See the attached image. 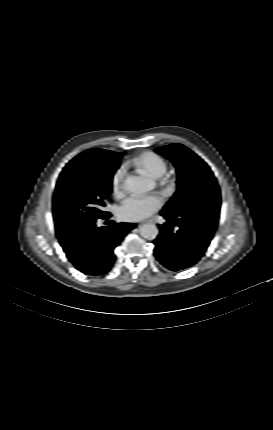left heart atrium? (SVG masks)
Masks as SVG:
<instances>
[{
	"instance_id": "1",
	"label": "left heart atrium",
	"mask_w": 273,
	"mask_h": 430,
	"mask_svg": "<svg viewBox=\"0 0 273 430\" xmlns=\"http://www.w3.org/2000/svg\"><path fill=\"white\" fill-rule=\"evenodd\" d=\"M163 205L159 195L131 196L119 207L118 216L125 221H139L151 216Z\"/></svg>"
}]
</instances>
